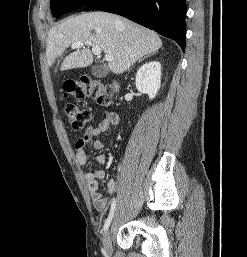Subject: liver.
I'll list each match as a JSON object with an SVG mask.
<instances>
[{
  "instance_id": "1",
  "label": "liver",
  "mask_w": 247,
  "mask_h": 257,
  "mask_svg": "<svg viewBox=\"0 0 247 257\" xmlns=\"http://www.w3.org/2000/svg\"><path fill=\"white\" fill-rule=\"evenodd\" d=\"M78 41H89L113 56L108 67L115 74L125 72L137 60L156 53L162 46L158 34L150 29L110 13L90 12L70 17L50 29L46 47L48 64L52 66ZM85 46L66 56L60 70L90 66L94 58L89 46Z\"/></svg>"
}]
</instances>
